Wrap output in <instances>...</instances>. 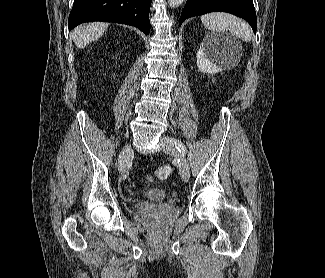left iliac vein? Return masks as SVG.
<instances>
[{"mask_svg":"<svg viewBox=\"0 0 325 278\" xmlns=\"http://www.w3.org/2000/svg\"><path fill=\"white\" fill-rule=\"evenodd\" d=\"M171 138H162L161 139V144H162V150L168 154H171L175 157H177L180 161V164H179V173H180V176H181V179L184 181V182H187L189 180V177H190V167H189V163L187 161V159L181 155L174 143H172L170 141Z\"/></svg>","mask_w":325,"mask_h":278,"instance_id":"obj_1","label":"left iliac vein"}]
</instances>
